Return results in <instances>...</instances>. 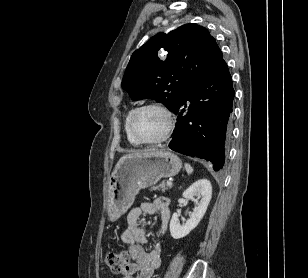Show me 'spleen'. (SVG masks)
Segmentation results:
<instances>
[{"label": "spleen", "mask_w": 308, "mask_h": 278, "mask_svg": "<svg viewBox=\"0 0 308 278\" xmlns=\"http://www.w3.org/2000/svg\"><path fill=\"white\" fill-rule=\"evenodd\" d=\"M185 169H186L187 173H189V174H191L193 172V168L188 163H185Z\"/></svg>", "instance_id": "obj_1"}]
</instances>
